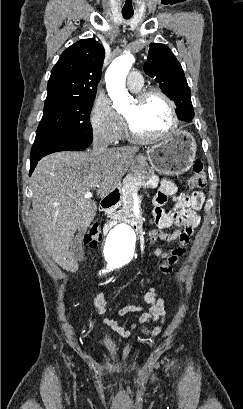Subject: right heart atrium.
Returning <instances> with one entry per match:
<instances>
[{"label":"right heart atrium","instance_id":"right-heart-atrium-1","mask_svg":"<svg viewBox=\"0 0 243 409\" xmlns=\"http://www.w3.org/2000/svg\"><path fill=\"white\" fill-rule=\"evenodd\" d=\"M89 120L93 136L104 143H115L124 134L123 120L106 96L95 99Z\"/></svg>","mask_w":243,"mask_h":409}]
</instances>
